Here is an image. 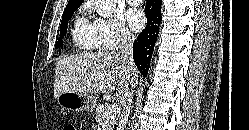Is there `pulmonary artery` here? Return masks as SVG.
Segmentation results:
<instances>
[{"instance_id":"obj_1","label":"pulmonary artery","mask_w":249,"mask_h":130,"mask_svg":"<svg viewBox=\"0 0 249 130\" xmlns=\"http://www.w3.org/2000/svg\"><path fill=\"white\" fill-rule=\"evenodd\" d=\"M143 0H127L130 5H139Z\"/></svg>"}]
</instances>
